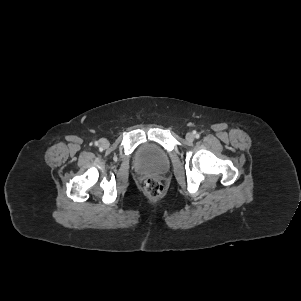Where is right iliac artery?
<instances>
[{"label":"right iliac artery","mask_w":301,"mask_h":301,"mask_svg":"<svg viewBox=\"0 0 301 301\" xmlns=\"http://www.w3.org/2000/svg\"><path fill=\"white\" fill-rule=\"evenodd\" d=\"M95 145H98V142H95Z\"/></svg>","instance_id":"obj_1"}]
</instances>
